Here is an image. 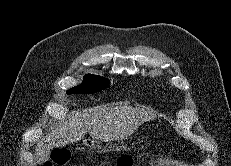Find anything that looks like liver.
<instances>
[{
	"label": "liver",
	"instance_id": "1",
	"mask_svg": "<svg viewBox=\"0 0 231 166\" xmlns=\"http://www.w3.org/2000/svg\"><path fill=\"white\" fill-rule=\"evenodd\" d=\"M155 118L153 110L132 106H103L72 112L65 123L37 143V163L46 162L54 147L78 142L87 132L95 140H122L133 134L144 122Z\"/></svg>",
	"mask_w": 231,
	"mask_h": 166
}]
</instances>
